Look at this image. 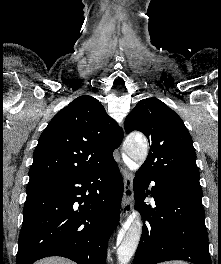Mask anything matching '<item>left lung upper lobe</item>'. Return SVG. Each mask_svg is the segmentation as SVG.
<instances>
[{
	"label": "left lung upper lobe",
	"mask_w": 221,
	"mask_h": 264,
	"mask_svg": "<svg viewBox=\"0 0 221 264\" xmlns=\"http://www.w3.org/2000/svg\"><path fill=\"white\" fill-rule=\"evenodd\" d=\"M143 132L150 151L140 170L167 183L202 192L192 138L181 118L157 98L137 103L125 119V131Z\"/></svg>",
	"instance_id": "1"
}]
</instances>
